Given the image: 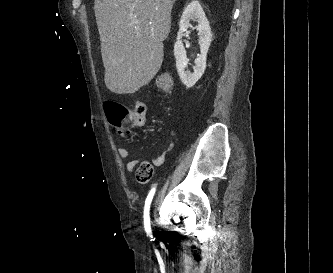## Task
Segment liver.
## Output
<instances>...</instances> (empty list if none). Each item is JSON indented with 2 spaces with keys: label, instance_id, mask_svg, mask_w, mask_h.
Here are the masks:
<instances>
[{
  "label": "liver",
  "instance_id": "liver-1",
  "mask_svg": "<svg viewBox=\"0 0 333 273\" xmlns=\"http://www.w3.org/2000/svg\"><path fill=\"white\" fill-rule=\"evenodd\" d=\"M176 0H95L106 87L131 94L148 84L163 62V41Z\"/></svg>",
  "mask_w": 333,
  "mask_h": 273
}]
</instances>
